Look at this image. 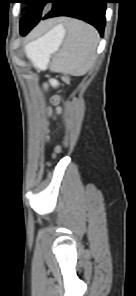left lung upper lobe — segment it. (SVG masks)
<instances>
[{
    "instance_id": "obj_1",
    "label": "left lung upper lobe",
    "mask_w": 136,
    "mask_h": 296,
    "mask_svg": "<svg viewBox=\"0 0 136 296\" xmlns=\"http://www.w3.org/2000/svg\"><path fill=\"white\" fill-rule=\"evenodd\" d=\"M52 0H25L22 3H28L31 6L28 7L29 12L22 18L20 29H24L33 25H36L42 15V9L46 3H50Z\"/></svg>"
}]
</instances>
